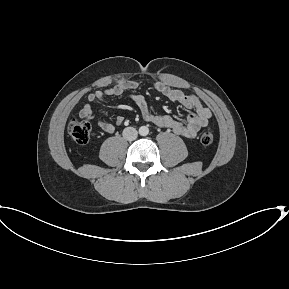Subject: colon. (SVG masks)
I'll list each match as a JSON object with an SVG mask.
<instances>
[{"mask_svg":"<svg viewBox=\"0 0 289 289\" xmlns=\"http://www.w3.org/2000/svg\"><path fill=\"white\" fill-rule=\"evenodd\" d=\"M68 133L75 142L79 144H85L90 138V122L85 119H72L68 124ZM213 139L214 134L211 129L204 130L200 137L201 142L205 145L212 143Z\"/></svg>","mask_w":289,"mask_h":289,"instance_id":"5ec220e1","label":"colon"}]
</instances>
